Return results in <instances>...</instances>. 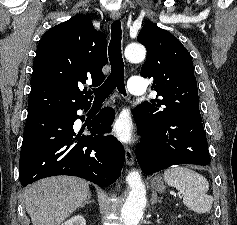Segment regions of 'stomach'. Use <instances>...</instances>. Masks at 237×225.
<instances>
[{"label": "stomach", "instance_id": "obj_1", "mask_svg": "<svg viewBox=\"0 0 237 225\" xmlns=\"http://www.w3.org/2000/svg\"><path fill=\"white\" fill-rule=\"evenodd\" d=\"M151 187L154 191L159 193H162L166 188L164 180L159 176L152 179Z\"/></svg>", "mask_w": 237, "mask_h": 225}]
</instances>
